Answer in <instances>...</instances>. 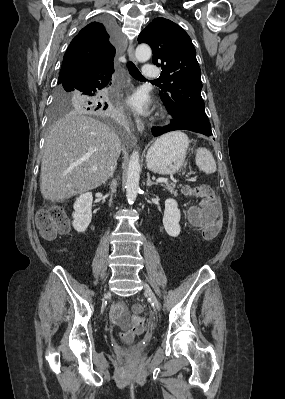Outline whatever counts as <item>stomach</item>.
<instances>
[{
	"label": "stomach",
	"instance_id": "obj_1",
	"mask_svg": "<svg viewBox=\"0 0 285 399\" xmlns=\"http://www.w3.org/2000/svg\"><path fill=\"white\" fill-rule=\"evenodd\" d=\"M188 145V138L181 132L160 137L147 152V168L162 175L176 173L185 165Z\"/></svg>",
	"mask_w": 285,
	"mask_h": 399
}]
</instances>
